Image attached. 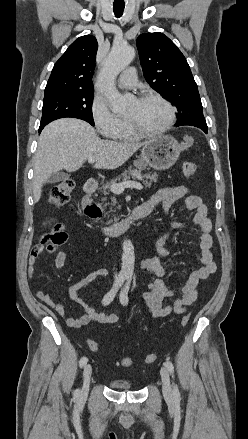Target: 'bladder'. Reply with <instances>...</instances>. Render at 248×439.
I'll use <instances>...</instances> for the list:
<instances>
[{
  "label": "bladder",
  "instance_id": "obj_1",
  "mask_svg": "<svg viewBox=\"0 0 248 439\" xmlns=\"http://www.w3.org/2000/svg\"><path fill=\"white\" fill-rule=\"evenodd\" d=\"M110 386L113 389L124 390V391L131 390L132 388L131 383L129 381H124V380H111Z\"/></svg>",
  "mask_w": 248,
  "mask_h": 439
}]
</instances>
